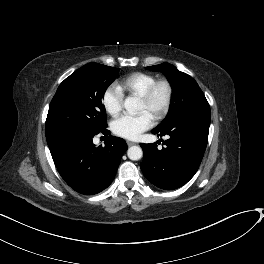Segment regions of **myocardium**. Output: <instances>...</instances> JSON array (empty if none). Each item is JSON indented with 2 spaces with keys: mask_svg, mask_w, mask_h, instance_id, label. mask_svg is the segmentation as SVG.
<instances>
[{
  "mask_svg": "<svg viewBox=\"0 0 264 264\" xmlns=\"http://www.w3.org/2000/svg\"><path fill=\"white\" fill-rule=\"evenodd\" d=\"M162 87L165 89V99L162 106L157 109L152 115V117L156 121L162 120L168 114L172 105L174 90L171 82L167 79L156 80L148 88V90L140 96L142 101L147 104H152L154 102L158 90Z\"/></svg>",
  "mask_w": 264,
  "mask_h": 264,
  "instance_id": "1",
  "label": "myocardium"
}]
</instances>
